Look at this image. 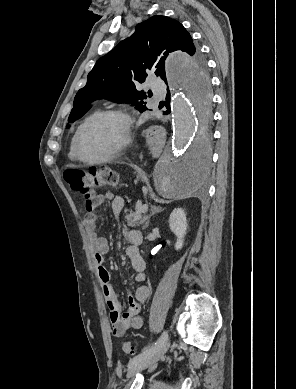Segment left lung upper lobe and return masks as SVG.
<instances>
[{
	"mask_svg": "<svg viewBox=\"0 0 296 389\" xmlns=\"http://www.w3.org/2000/svg\"><path fill=\"white\" fill-rule=\"evenodd\" d=\"M176 50L191 56L190 81L207 95L206 62L190 34L177 20L152 16L137 24L129 38L96 62L88 74L87 84L75 96L68 121L74 122L83 116L89 110L88 105L98 98L132 103L140 112L148 110L143 102L147 95L138 91L136 84L144 82L149 71L167 83L169 76L165 71V59Z\"/></svg>",
	"mask_w": 296,
	"mask_h": 389,
	"instance_id": "1",
	"label": "left lung upper lobe"
}]
</instances>
